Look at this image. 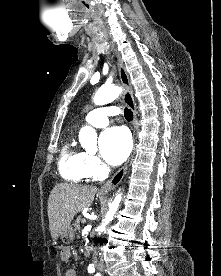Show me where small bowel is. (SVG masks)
Listing matches in <instances>:
<instances>
[{
	"instance_id": "obj_1",
	"label": "small bowel",
	"mask_w": 221,
	"mask_h": 276,
	"mask_svg": "<svg viewBox=\"0 0 221 276\" xmlns=\"http://www.w3.org/2000/svg\"><path fill=\"white\" fill-rule=\"evenodd\" d=\"M70 257H71V253L68 249H66V251H63V253L61 254V260L63 262H69ZM65 276H77V273L74 269H68L66 271Z\"/></svg>"
}]
</instances>
